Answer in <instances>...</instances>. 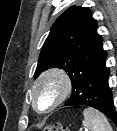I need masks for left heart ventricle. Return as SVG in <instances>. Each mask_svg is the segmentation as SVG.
Listing matches in <instances>:
<instances>
[{
  "mask_svg": "<svg viewBox=\"0 0 117 131\" xmlns=\"http://www.w3.org/2000/svg\"><path fill=\"white\" fill-rule=\"evenodd\" d=\"M57 93L58 87L52 82L42 86L36 94L38 108L41 110L48 108L56 99Z\"/></svg>",
  "mask_w": 117,
  "mask_h": 131,
  "instance_id": "left-heart-ventricle-1",
  "label": "left heart ventricle"
}]
</instances>
